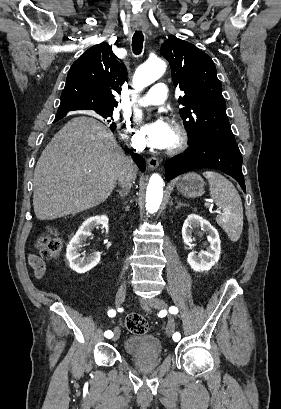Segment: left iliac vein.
I'll use <instances>...</instances> for the list:
<instances>
[{
    "label": "left iliac vein",
    "mask_w": 281,
    "mask_h": 409,
    "mask_svg": "<svg viewBox=\"0 0 281 409\" xmlns=\"http://www.w3.org/2000/svg\"><path fill=\"white\" fill-rule=\"evenodd\" d=\"M140 303L142 306H150L155 309H164L166 308V303L163 299L160 298H151V299H140ZM175 330V323L172 317H169L167 326H166V333L168 336H171Z\"/></svg>",
    "instance_id": "left-iliac-vein-1"
}]
</instances>
